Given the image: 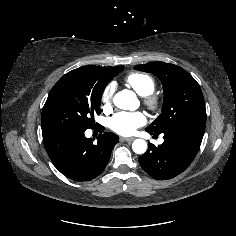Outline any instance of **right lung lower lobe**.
<instances>
[{
    "instance_id": "right-lung-lower-lobe-1",
    "label": "right lung lower lobe",
    "mask_w": 236,
    "mask_h": 236,
    "mask_svg": "<svg viewBox=\"0 0 236 236\" xmlns=\"http://www.w3.org/2000/svg\"><path fill=\"white\" fill-rule=\"evenodd\" d=\"M85 131H70L44 141L55 167L74 181H90L106 167L119 137L111 132L98 136L97 144Z\"/></svg>"
}]
</instances>
